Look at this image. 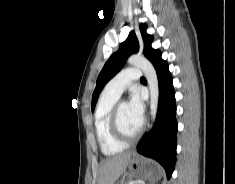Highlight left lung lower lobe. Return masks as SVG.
<instances>
[{
	"label": "left lung lower lobe",
	"instance_id": "1",
	"mask_svg": "<svg viewBox=\"0 0 235 184\" xmlns=\"http://www.w3.org/2000/svg\"><path fill=\"white\" fill-rule=\"evenodd\" d=\"M159 83V103L154 127L137 146L138 153L153 158L165 169L169 179L176 163L177 121L175 91L168 64L156 50L150 59Z\"/></svg>",
	"mask_w": 235,
	"mask_h": 184
}]
</instances>
